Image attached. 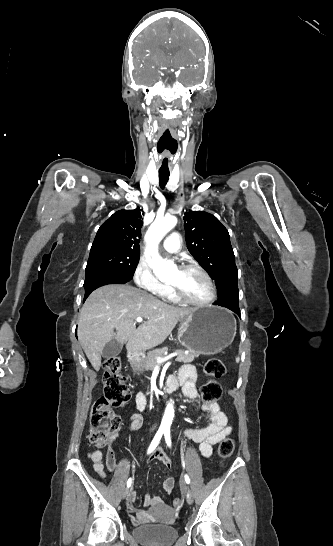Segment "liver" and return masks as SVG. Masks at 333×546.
I'll list each match as a JSON object with an SVG mask.
<instances>
[{
  "label": "liver",
  "instance_id": "6515ba94",
  "mask_svg": "<svg viewBox=\"0 0 333 546\" xmlns=\"http://www.w3.org/2000/svg\"><path fill=\"white\" fill-rule=\"evenodd\" d=\"M195 309L167 305L131 285H105L85 301L78 318V340L93 368L101 366V354L107 343H126L134 352L161 344L180 319ZM147 319L136 328V318Z\"/></svg>",
  "mask_w": 333,
  "mask_h": 546
}]
</instances>
